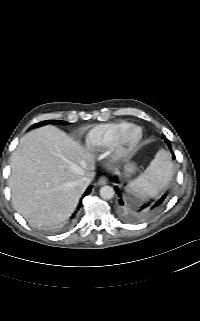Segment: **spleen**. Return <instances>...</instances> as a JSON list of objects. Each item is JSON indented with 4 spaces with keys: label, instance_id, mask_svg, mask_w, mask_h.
<instances>
[{
    "label": "spleen",
    "instance_id": "obj_1",
    "mask_svg": "<svg viewBox=\"0 0 200 321\" xmlns=\"http://www.w3.org/2000/svg\"><path fill=\"white\" fill-rule=\"evenodd\" d=\"M174 173V166L169 152L161 149L146 170L126 185V190L134 195L148 198L158 195L166 188Z\"/></svg>",
    "mask_w": 200,
    "mask_h": 321
}]
</instances>
